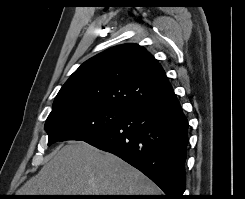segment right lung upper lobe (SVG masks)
<instances>
[{"mask_svg": "<svg viewBox=\"0 0 245 199\" xmlns=\"http://www.w3.org/2000/svg\"><path fill=\"white\" fill-rule=\"evenodd\" d=\"M173 92L151 54L137 44H123L84 62L58 92L52 112L83 103L130 111Z\"/></svg>", "mask_w": 245, "mask_h": 199, "instance_id": "obj_1", "label": "right lung upper lobe"}]
</instances>
